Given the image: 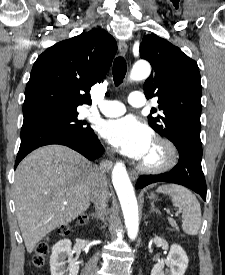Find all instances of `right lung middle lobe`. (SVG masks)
Masks as SVG:
<instances>
[{
    "mask_svg": "<svg viewBox=\"0 0 225 275\" xmlns=\"http://www.w3.org/2000/svg\"><path fill=\"white\" fill-rule=\"evenodd\" d=\"M77 110L72 111H47L24 116L23 125L32 123H44L55 125L76 134H91L94 131L85 126L84 121L77 119Z\"/></svg>",
    "mask_w": 225,
    "mask_h": 275,
    "instance_id": "obj_1",
    "label": "right lung middle lobe"
}]
</instances>
